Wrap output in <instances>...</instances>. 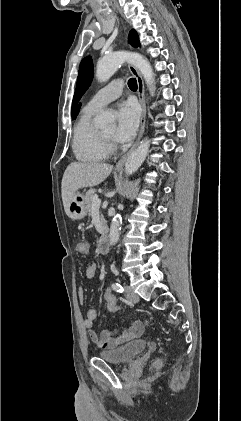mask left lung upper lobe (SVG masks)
<instances>
[{
  "label": "left lung upper lobe",
  "mask_w": 241,
  "mask_h": 421,
  "mask_svg": "<svg viewBox=\"0 0 241 421\" xmlns=\"http://www.w3.org/2000/svg\"><path fill=\"white\" fill-rule=\"evenodd\" d=\"M129 43L133 47H138L139 38L135 30H132L129 33ZM92 74H93V63L90 57L84 58L79 67V73L77 78L76 90L73 97L72 102V118H74L75 108L80 100L81 96L85 93V91L89 88L92 82Z\"/></svg>",
  "instance_id": "left-lung-upper-lobe-1"
}]
</instances>
